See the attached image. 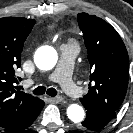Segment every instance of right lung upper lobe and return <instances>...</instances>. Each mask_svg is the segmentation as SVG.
Listing matches in <instances>:
<instances>
[{
	"instance_id": "right-lung-upper-lobe-1",
	"label": "right lung upper lobe",
	"mask_w": 133,
	"mask_h": 133,
	"mask_svg": "<svg viewBox=\"0 0 133 133\" xmlns=\"http://www.w3.org/2000/svg\"><path fill=\"white\" fill-rule=\"evenodd\" d=\"M35 20L22 17L0 18V127L14 122L37 97L20 91L21 78L15 70L21 66L20 55Z\"/></svg>"
}]
</instances>
